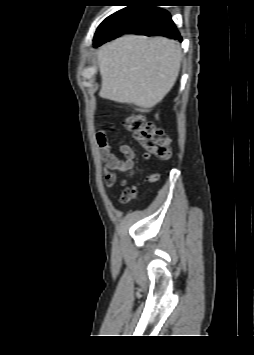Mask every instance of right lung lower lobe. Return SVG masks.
<instances>
[{
  "instance_id": "98d812e1",
  "label": "right lung lower lobe",
  "mask_w": 254,
  "mask_h": 355,
  "mask_svg": "<svg viewBox=\"0 0 254 355\" xmlns=\"http://www.w3.org/2000/svg\"><path fill=\"white\" fill-rule=\"evenodd\" d=\"M159 0H142L128 4L111 15L99 36L94 40V46L115 39L122 34L138 33L146 36L159 35L182 41L169 12L153 6H161Z\"/></svg>"
}]
</instances>
